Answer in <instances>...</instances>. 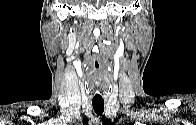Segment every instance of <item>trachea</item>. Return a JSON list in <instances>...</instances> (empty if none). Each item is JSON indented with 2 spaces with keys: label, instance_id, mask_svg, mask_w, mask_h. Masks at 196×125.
Wrapping results in <instances>:
<instances>
[{
  "label": "trachea",
  "instance_id": "3493384b",
  "mask_svg": "<svg viewBox=\"0 0 196 125\" xmlns=\"http://www.w3.org/2000/svg\"><path fill=\"white\" fill-rule=\"evenodd\" d=\"M93 109L98 115H102L104 111V100L93 99L92 100Z\"/></svg>",
  "mask_w": 196,
  "mask_h": 125
}]
</instances>
